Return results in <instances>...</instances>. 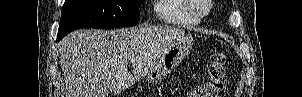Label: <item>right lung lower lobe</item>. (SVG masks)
<instances>
[{"label": "right lung lower lobe", "mask_w": 302, "mask_h": 97, "mask_svg": "<svg viewBox=\"0 0 302 97\" xmlns=\"http://www.w3.org/2000/svg\"><path fill=\"white\" fill-rule=\"evenodd\" d=\"M62 37L60 36V35H58V37H57V39L59 40V39H61Z\"/></svg>", "instance_id": "right-lung-lower-lobe-1"}]
</instances>
